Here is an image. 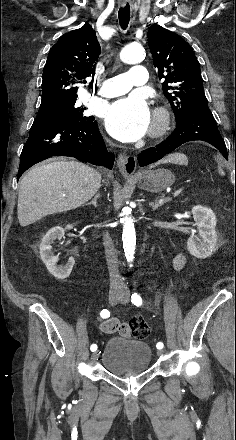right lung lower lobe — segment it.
Wrapping results in <instances>:
<instances>
[{
    "mask_svg": "<svg viewBox=\"0 0 236 440\" xmlns=\"http://www.w3.org/2000/svg\"><path fill=\"white\" fill-rule=\"evenodd\" d=\"M52 156H69L111 169L114 157L100 135L95 118L72 120L57 115H37L23 147L17 179L31 166Z\"/></svg>",
    "mask_w": 236,
    "mask_h": 440,
    "instance_id": "obj_1",
    "label": "right lung lower lobe"
}]
</instances>
